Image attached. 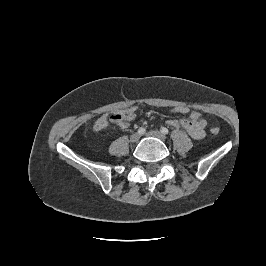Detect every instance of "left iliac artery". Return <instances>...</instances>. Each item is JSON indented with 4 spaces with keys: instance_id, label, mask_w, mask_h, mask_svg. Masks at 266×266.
<instances>
[{
    "instance_id": "1",
    "label": "left iliac artery",
    "mask_w": 266,
    "mask_h": 266,
    "mask_svg": "<svg viewBox=\"0 0 266 266\" xmlns=\"http://www.w3.org/2000/svg\"><path fill=\"white\" fill-rule=\"evenodd\" d=\"M160 131L165 135L169 133V130L166 127H162Z\"/></svg>"
}]
</instances>
